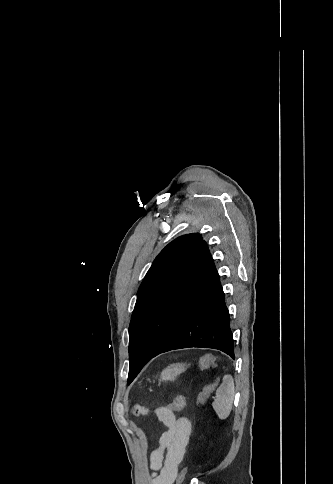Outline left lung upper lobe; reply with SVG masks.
Listing matches in <instances>:
<instances>
[{
    "mask_svg": "<svg viewBox=\"0 0 333 484\" xmlns=\"http://www.w3.org/2000/svg\"><path fill=\"white\" fill-rule=\"evenodd\" d=\"M204 244L205 241L198 233L183 235L169 243L155 258L138 290L129 326V360L158 302L189 263L192 254ZM142 368L141 363L135 366L130 361L128 383L133 381Z\"/></svg>",
    "mask_w": 333,
    "mask_h": 484,
    "instance_id": "left-lung-upper-lobe-1",
    "label": "left lung upper lobe"
}]
</instances>
